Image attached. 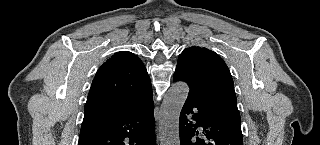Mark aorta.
Segmentation results:
<instances>
[{
    "instance_id": "obj_1",
    "label": "aorta",
    "mask_w": 320,
    "mask_h": 145,
    "mask_svg": "<svg viewBox=\"0 0 320 145\" xmlns=\"http://www.w3.org/2000/svg\"><path fill=\"white\" fill-rule=\"evenodd\" d=\"M189 87L185 82H177L166 93L159 117L160 145H179V117Z\"/></svg>"
}]
</instances>
